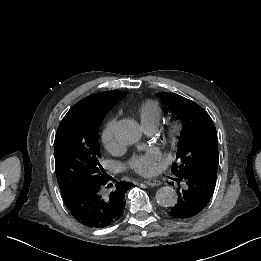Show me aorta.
Returning <instances> with one entry per match:
<instances>
[{"instance_id":"aorta-1","label":"aorta","mask_w":261,"mask_h":261,"mask_svg":"<svg viewBox=\"0 0 261 261\" xmlns=\"http://www.w3.org/2000/svg\"><path fill=\"white\" fill-rule=\"evenodd\" d=\"M141 130L138 123L131 119L118 121L115 128V138L123 145H133L141 138ZM157 203L162 207H173L177 203V193L170 186H164L157 190L155 195Z\"/></svg>"}]
</instances>
